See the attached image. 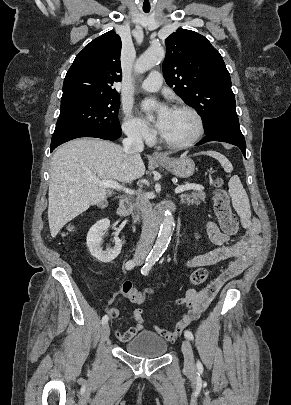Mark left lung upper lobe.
<instances>
[{"mask_svg":"<svg viewBox=\"0 0 291 405\" xmlns=\"http://www.w3.org/2000/svg\"><path fill=\"white\" fill-rule=\"evenodd\" d=\"M165 44V81L199 112L206 134L225 126L239 127L230 74L207 38L179 28Z\"/></svg>","mask_w":291,"mask_h":405,"instance_id":"left-lung-upper-lobe-1","label":"left lung upper lobe"}]
</instances>
